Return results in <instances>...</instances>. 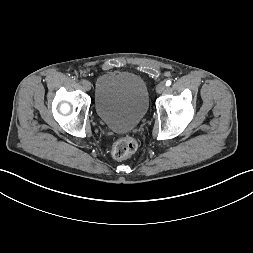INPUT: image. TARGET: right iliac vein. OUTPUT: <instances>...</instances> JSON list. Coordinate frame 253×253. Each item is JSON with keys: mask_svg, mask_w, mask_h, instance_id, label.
<instances>
[{"mask_svg": "<svg viewBox=\"0 0 253 253\" xmlns=\"http://www.w3.org/2000/svg\"><path fill=\"white\" fill-rule=\"evenodd\" d=\"M84 90L89 91L91 89V83L87 80H85V82L82 84Z\"/></svg>", "mask_w": 253, "mask_h": 253, "instance_id": "obj_1", "label": "right iliac vein"}]
</instances>
